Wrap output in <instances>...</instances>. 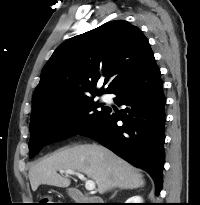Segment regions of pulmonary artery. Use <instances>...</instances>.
I'll list each match as a JSON object with an SVG mask.
<instances>
[{
  "instance_id": "1",
  "label": "pulmonary artery",
  "mask_w": 200,
  "mask_h": 205,
  "mask_svg": "<svg viewBox=\"0 0 200 205\" xmlns=\"http://www.w3.org/2000/svg\"><path fill=\"white\" fill-rule=\"evenodd\" d=\"M102 98H103V99H107L108 96L104 94V95H102Z\"/></svg>"
}]
</instances>
